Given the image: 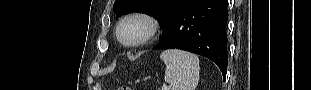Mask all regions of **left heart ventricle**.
<instances>
[{
  "instance_id": "1",
  "label": "left heart ventricle",
  "mask_w": 311,
  "mask_h": 90,
  "mask_svg": "<svg viewBox=\"0 0 311 90\" xmlns=\"http://www.w3.org/2000/svg\"><path fill=\"white\" fill-rule=\"evenodd\" d=\"M143 31V28L139 24H129L123 29V36L131 39L138 37Z\"/></svg>"
}]
</instances>
